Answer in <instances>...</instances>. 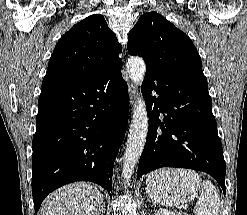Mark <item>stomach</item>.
Returning a JSON list of instances; mask_svg holds the SVG:
<instances>
[{"label": "stomach", "mask_w": 247, "mask_h": 215, "mask_svg": "<svg viewBox=\"0 0 247 215\" xmlns=\"http://www.w3.org/2000/svg\"><path fill=\"white\" fill-rule=\"evenodd\" d=\"M197 173L185 169H165L152 173L147 179V193L164 206H179L197 196L200 189Z\"/></svg>", "instance_id": "obj_1"}]
</instances>
